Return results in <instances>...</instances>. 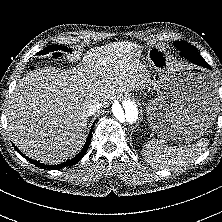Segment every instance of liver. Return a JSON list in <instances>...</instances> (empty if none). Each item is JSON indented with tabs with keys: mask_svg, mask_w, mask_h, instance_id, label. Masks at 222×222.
<instances>
[{
	"mask_svg": "<svg viewBox=\"0 0 222 222\" xmlns=\"http://www.w3.org/2000/svg\"><path fill=\"white\" fill-rule=\"evenodd\" d=\"M136 44L114 42L90 49L72 69L39 68L25 75L8 101V131L28 157L58 164L86 140L89 103L106 101L151 83L148 64L129 54Z\"/></svg>",
	"mask_w": 222,
	"mask_h": 222,
	"instance_id": "liver-1",
	"label": "liver"
}]
</instances>
